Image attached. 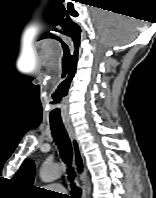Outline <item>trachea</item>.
Segmentation results:
<instances>
[{"label": "trachea", "mask_w": 156, "mask_h": 198, "mask_svg": "<svg viewBox=\"0 0 156 198\" xmlns=\"http://www.w3.org/2000/svg\"><path fill=\"white\" fill-rule=\"evenodd\" d=\"M50 124L52 135L60 151L61 158L68 165V179L73 182L75 172L71 167L72 145L62 122L50 121ZM71 188L72 196L70 198H81V190L74 183H71Z\"/></svg>", "instance_id": "1"}]
</instances>
